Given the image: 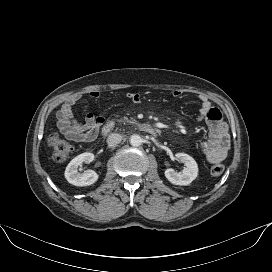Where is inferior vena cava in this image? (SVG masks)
Here are the masks:
<instances>
[{
    "instance_id": "inferior-vena-cava-1",
    "label": "inferior vena cava",
    "mask_w": 272,
    "mask_h": 272,
    "mask_svg": "<svg viewBox=\"0 0 272 272\" xmlns=\"http://www.w3.org/2000/svg\"><path fill=\"white\" fill-rule=\"evenodd\" d=\"M122 141V136L118 133H112L107 138V144L109 146H116Z\"/></svg>"
}]
</instances>
